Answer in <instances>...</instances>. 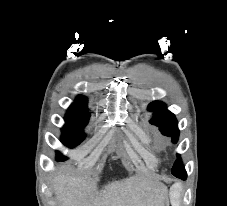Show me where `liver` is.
Returning <instances> with one entry per match:
<instances>
[{"instance_id": "6515ba94", "label": "liver", "mask_w": 227, "mask_h": 206, "mask_svg": "<svg viewBox=\"0 0 227 206\" xmlns=\"http://www.w3.org/2000/svg\"><path fill=\"white\" fill-rule=\"evenodd\" d=\"M61 206H163L168 189L149 178L131 177L109 183L100 192L94 181L61 174L53 179Z\"/></svg>"}]
</instances>
